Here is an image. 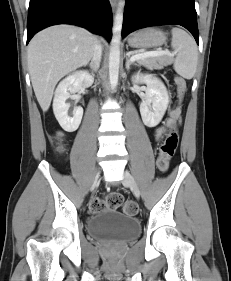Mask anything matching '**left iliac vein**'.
Returning a JSON list of instances; mask_svg holds the SVG:
<instances>
[{"mask_svg":"<svg viewBox=\"0 0 231 281\" xmlns=\"http://www.w3.org/2000/svg\"><path fill=\"white\" fill-rule=\"evenodd\" d=\"M122 183L124 186L129 187L137 198L140 197L139 187L136 184L133 176L128 171L123 172Z\"/></svg>","mask_w":231,"mask_h":281,"instance_id":"left-iliac-vein-1","label":"left iliac vein"}]
</instances>
